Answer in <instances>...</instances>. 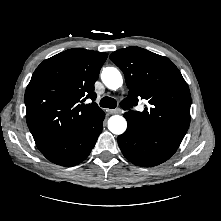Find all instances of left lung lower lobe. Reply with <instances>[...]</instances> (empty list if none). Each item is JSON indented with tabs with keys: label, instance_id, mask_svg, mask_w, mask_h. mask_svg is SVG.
Wrapping results in <instances>:
<instances>
[{
	"label": "left lung lower lobe",
	"instance_id": "obj_1",
	"mask_svg": "<svg viewBox=\"0 0 221 221\" xmlns=\"http://www.w3.org/2000/svg\"><path fill=\"white\" fill-rule=\"evenodd\" d=\"M117 140L123 155L133 164L150 167L168 160L177 150L154 142L145 136L131 121Z\"/></svg>",
	"mask_w": 221,
	"mask_h": 221
}]
</instances>
